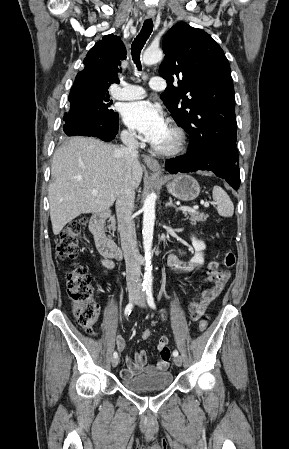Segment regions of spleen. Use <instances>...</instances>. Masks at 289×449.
<instances>
[{"mask_svg": "<svg viewBox=\"0 0 289 449\" xmlns=\"http://www.w3.org/2000/svg\"><path fill=\"white\" fill-rule=\"evenodd\" d=\"M213 200L217 205V212L223 217H232L234 205L228 194L219 186L213 187Z\"/></svg>", "mask_w": 289, "mask_h": 449, "instance_id": "spleen-1", "label": "spleen"}]
</instances>
